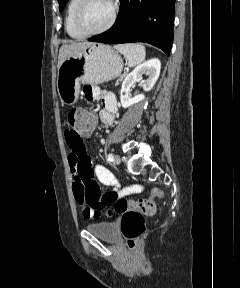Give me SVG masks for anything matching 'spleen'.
Wrapping results in <instances>:
<instances>
[{
  "label": "spleen",
  "mask_w": 240,
  "mask_h": 288,
  "mask_svg": "<svg viewBox=\"0 0 240 288\" xmlns=\"http://www.w3.org/2000/svg\"><path fill=\"white\" fill-rule=\"evenodd\" d=\"M115 48L124 55L130 67L140 64L145 59V47L139 43L119 44Z\"/></svg>",
  "instance_id": "3e777b00"
}]
</instances>
